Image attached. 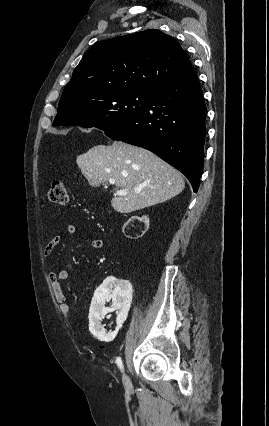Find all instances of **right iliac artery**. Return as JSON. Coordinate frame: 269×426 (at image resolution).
Wrapping results in <instances>:
<instances>
[{"mask_svg":"<svg viewBox=\"0 0 269 426\" xmlns=\"http://www.w3.org/2000/svg\"><path fill=\"white\" fill-rule=\"evenodd\" d=\"M116 364L121 370H123V363L120 357H117Z\"/></svg>","mask_w":269,"mask_h":426,"instance_id":"obj_1","label":"right iliac artery"}]
</instances>
